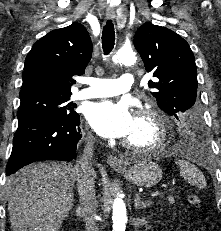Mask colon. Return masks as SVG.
I'll return each mask as SVG.
<instances>
[{
    "label": "colon",
    "instance_id": "1",
    "mask_svg": "<svg viewBox=\"0 0 221 231\" xmlns=\"http://www.w3.org/2000/svg\"><path fill=\"white\" fill-rule=\"evenodd\" d=\"M188 201L194 207H201L202 206V199L197 195L189 196Z\"/></svg>",
    "mask_w": 221,
    "mask_h": 231
}]
</instances>
